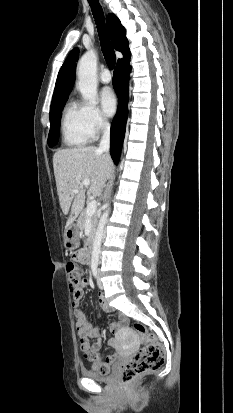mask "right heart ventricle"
<instances>
[{
	"instance_id": "1",
	"label": "right heart ventricle",
	"mask_w": 233,
	"mask_h": 413,
	"mask_svg": "<svg viewBox=\"0 0 233 413\" xmlns=\"http://www.w3.org/2000/svg\"><path fill=\"white\" fill-rule=\"evenodd\" d=\"M63 144L75 148L87 145L94 138L86 119L85 106L70 101L64 108L61 118Z\"/></svg>"
}]
</instances>
